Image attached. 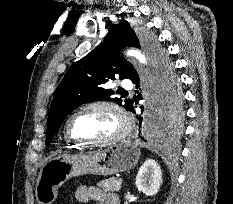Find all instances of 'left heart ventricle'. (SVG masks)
Instances as JSON below:
<instances>
[{
	"instance_id": "left-heart-ventricle-1",
	"label": "left heart ventricle",
	"mask_w": 233,
	"mask_h": 204,
	"mask_svg": "<svg viewBox=\"0 0 233 204\" xmlns=\"http://www.w3.org/2000/svg\"><path fill=\"white\" fill-rule=\"evenodd\" d=\"M120 127V120L113 111L93 108L74 118L71 131L78 138L101 141L115 135Z\"/></svg>"
}]
</instances>
